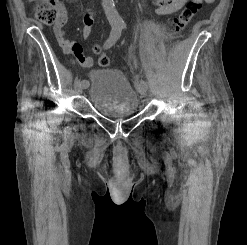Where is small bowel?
Here are the masks:
<instances>
[{
    "instance_id": "small-bowel-1",
    "label": "small bowel",
    "mask_w": 247,
    "mask_h": 245,
    "mask_svg": "<svg viewBox=\"0 0 247 245\" xmlns=\"http://www.w3.org/2000/svg\"><path fill=\"white\" fill-rule=\"evenodd\" d=\"M215 0H200L206 4H212ZM187 2V0H153L156 6L155 13L158 16L172 15L178 12ZM67 22V11L65 8H59V20L54 25V34L59 45L62 47L65 53H72L75 55L79 63L83 67H91L93 65V59L89 56H84L82 47L74 41H70L65 37L64 25ZM83 38H88L91 34L93 26V12L87 11L83 17Z\"/></svg>"
}]
</instances>
